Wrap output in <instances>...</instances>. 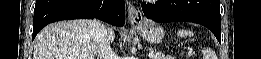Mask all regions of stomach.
Masks as SVG:
<instances>
[{"label": "stomach", "mask_w": 261, "mask_h": 59, "mask_svg": "<svg viewBox=\"0 0 261 59\" xmlns=\"http://www.w3.org/2000/svg\"><path fill=\"white\" fill-rule=\"evenodd\" d=\"M142 38L151 44H159L164 38L163 28L155 22L144 21L135 26Z\"/></svg>", "instance_id": "obj_1"}]
</instances>
